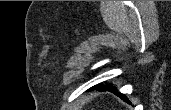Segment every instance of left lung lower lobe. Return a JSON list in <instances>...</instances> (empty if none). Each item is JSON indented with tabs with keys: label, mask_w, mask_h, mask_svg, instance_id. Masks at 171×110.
I'll list each match as a JSON object with an SVG mask.
<instances>
[{
	"label": "left lung lower lobe",
	"mask_w": 171,
	"mask_h": 110,
	"mask_svg": "<svg viewBox=\"0 0 171 110\" xmlns=\"http://www.w3.org/2000/svg\"><path fill=\"white\" fill-rule=\"evenodd\" d=\"M96 88H98V85L92 87L91 89H96ZM91 89H90V90H91ZM101 89H102V90H109V91H111V92H114L115 94L119 95L123 100L128 101V100L126 99L125 95L119 93L115 88H113V87H111V86H104V87L101 88ZM128 102H129V101H128Z\"/></svg>",
	"instance_id": "left-lung-lower-lobe-1"
}]
</instances>
